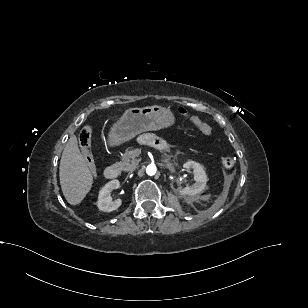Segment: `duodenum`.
<instances>
[{
	"label": "duodenum",
	"instance_id": "obj_1",
	"mask_svg": "<svg viewBox=\"0 0 308 308\" xmlns=\"http://www.w3.org/2000/svg\"><path fill=\"white\" fill-rule=\"evenodd\" d=\"M104 175L109 180L117 179L120 175V169L118 166H114V165L108 166L104 170Z\"/></svg>",
	"mask_w": 308,
	"mask_h": 308
}]
</instances>
